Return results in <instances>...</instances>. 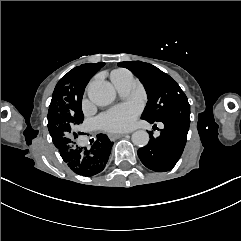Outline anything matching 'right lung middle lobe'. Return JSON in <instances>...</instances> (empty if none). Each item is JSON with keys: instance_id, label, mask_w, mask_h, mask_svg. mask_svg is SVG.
<instances>
[{"instance_id": "dd1d6c3e", "label": "right lung middle lobe", "mask_w": 241, "mask_h": 241, "mask_svg": "<svg viewBox=\"0 0 241 241\" xmlns=\"http://www.w3.org/2000/svg\"><path fill=\"white\" fill-rule=\"evenodd\" d=\"M104 64L99 62L75 67L57 83L48 111V130L57 148L74 145L75 139L82 134L76 129L84 119L81 109L84 89Z\"/></svg>"}]
</instances>
